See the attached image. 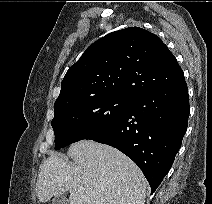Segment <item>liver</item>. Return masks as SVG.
<instances>
[{"label": "liver", "instance_id": "6515ba94", "mask_svg": "<svg viewBox=\"0 0 212 204\" xmlns=\"http://www.w3.org/2000/svg\"><path fill=\"white\" fill-rule=\"evenodd\" d=\"M67 154L75 165L53 153L40 166L36 184L40 202L69 191V204H144L147 180L119 150L82 140L72 144ZM79 187L84 192L79 193Z\"/></svg>", "mask_w": 212, "mask_h": 204}]
</instances>
